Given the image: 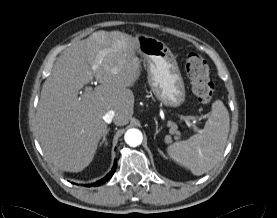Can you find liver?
Segmentation results:
<instances>
[{
	"instance_id": "6515ba94",
	"label": "liver",
	"mask_w": 277,
	"mask_h": 218,
	"mask_svg": "<svg viewBox=\"0 0 277 218\" xmlns=\"http://www.w3.org/2000/svg\"><path fill=\"white\" fill-rule=\"evenodd\" d=\"M139 40L120 31H97L67 48L45 80L36 114V135L57 168L80 172L94 158L107 131L103 116L115 112L114 123L126 125L133 115L129 89L141 74L136 56ZM94 90L78 92L93 78Z\"/></svg>"
}]
</instances>
